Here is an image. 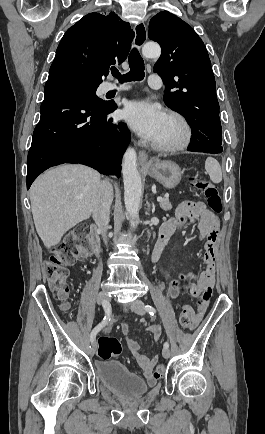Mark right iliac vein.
<instances>
[{
	"label": "right iliac vein",
	"instance_id": "right-iliac-vein-1",
	"mask_svg": "<svg viewBox=\"0 0 265 434\" xmlns=\"http://www.w3.org/2000/svg\"><path fill=\"white\" fill-rule=\"evenodd\" d=\"M97 300L100 304H103L104 302L107 304L109 303V296L106 293H99ZM97 351V342L93 341L90 348V354L93 356Z\"/></svg>",
	"mask_w": 265,
	"mask_h": 434
}]
</instances>
